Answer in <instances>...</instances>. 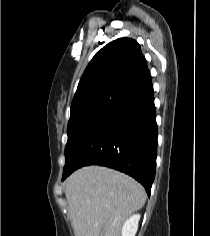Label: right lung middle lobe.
I'll return each mask as SVG.
<instances>
[{"instance_id": "right-lung-middle-lobe-1", "label": "right lung middle lobe", "mask_w": 210, "mask_h": 236, "mask_svg": "<svg viewBox=\"0 0 210 236\" xmlns=\"http://www.w3.org/2000/svg\"><path fill=\"white\" fill-rule=\"evenodd\" d=\"M128 92L125 89H114L71 107V115L67 127L68 141L65 147V165L68 164L72 155L90 130Z\"/></svg>"}]
</instances>
